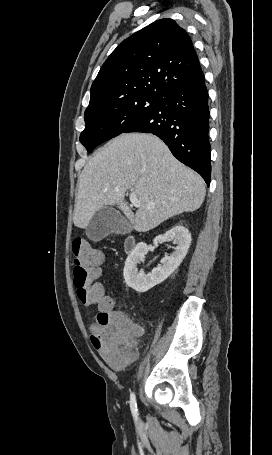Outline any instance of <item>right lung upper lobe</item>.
I'll return each instance as SVG.
<instances>
[{"label": "right lung upper lobe", "mask_w": 272, "mask_h": 455, "mask_svg": "<svg viewBox=\"0 0 272 455\" xmlns=\"http://www.w3.org/2000/svg\"><path fill=\"white\" fill-rule=\"evenodd\" d=\"M203 75L187 32L174 20L153 22L121 42L91 86L87 110L137 95L163 97Z\"/></svg>", "instance_id": "obj_1"}]
</instances>
